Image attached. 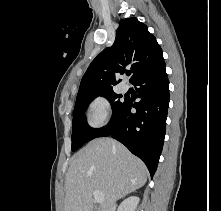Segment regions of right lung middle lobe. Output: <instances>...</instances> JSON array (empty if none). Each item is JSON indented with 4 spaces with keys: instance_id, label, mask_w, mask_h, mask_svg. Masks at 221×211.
Returning <instances> with one entry per match:
<instances>
[{
    "instance_id": "dd1d6c3e",
    "label": "right lung middle lobe",
    "mask_w": 221,
    "mask_h": 211,
    "mask_svg": "<svg viewBox=\"0 0 221 211\" xmlns=\"http://www.w3.org/2000/svg\"><path fill=\"white\" fill-rule=\"evenodd\" d=\"M98 96H103L107 98L108 101L111 103L113 110L111 120L124 104V102H121L118 99L119 97H121V95L116 94L114 91L78 97L76 99L72 121V151L77 150L87 141L96 138L102 129L91 128L87 124L85 116V112L89 103Z\"/></svg>"
}]
</instances>
